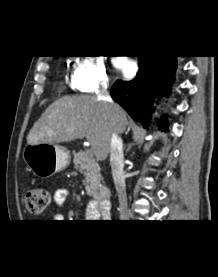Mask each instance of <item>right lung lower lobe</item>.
<instances>
[{"label": "right lung lower lobe", "instance_id": "right-lung-lower-lobe-1", "mask_svg": "<svg viewBox=\"0 0 218 277\" xmlns=\"http://www.w3.org/2000/svg\"><path fill=\"white\" fill-rule=\"evenodd\" d=\"M138 63L136 78L128 82L116 81L111 96L134 120L146 125L154 97L171 89L177 63L176 56H139ZM160 128L167 129L166 121H162Z\"/></svg>", "mask_w": 218, "mask_h": 277}]
</instances>
